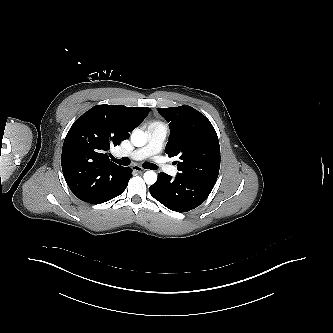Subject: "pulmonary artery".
<instances>
[{"label": "pulmonary artery", "mask_w": 333, "mask_h": 333, "mask_svg": "<svg viewBox=\"0 0 333 333\" xmlns=\"http://www.w3.org/2000/svg\"><path fill=\"white\" fill-rule=\"evenodd\" d=\"M168 128L162 123H154L149 126L148 129V142L142 148L133 150L131 152L120 151L117 153L118 157H130L134 160H141L144 158L152 157L158 154L162 147L163 143L167 137ZM158 162V161H157ZM158 168H162L165 172L170 175H175L177 173V168L170 165H159Z\"/></svg>", "instance_id": "1"}]
</instances>
